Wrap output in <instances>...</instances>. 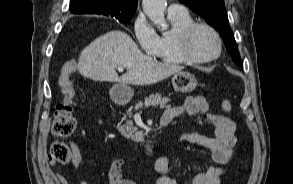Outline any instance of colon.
Returning a JSON list of instances; mask_svg holds the SVG:
<instances>
[{
    "label": "colon",
    "mask_w": 293,
    "mask_h": 184,
    "mask_svg": "<svg viewBox=\"0 0 293 184\" xmlns=\"http://www.w3.org/2000/svg\"><path fill=\"white\" fill-rule=\"evenodd\" d=\"M77 61L66 63L62 70L60 85L63 99L56 106L52 123V134L56 141L52 144L49 152V161L52 163L65 164L71 160V150L64 139L70 136L76 127L74 117V89L70 82V75L75 71ZM221 107L225 112H231L233 107L229 100L223 99Z\"/></svg>",
    "instance_id": "5ec220e1"
}]
</instances>
